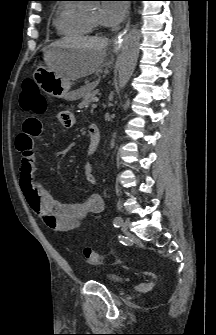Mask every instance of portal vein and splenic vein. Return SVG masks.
Listing matches in <instances>:
<instances>
[{
	"label": "portal vein and splenic vein",
	"instance_id": "obj_1",
	"mask_svg": "<svg viewBox=\"0 0 216 335\" xmlns=\"http://www.w3.org/2000/svg\"><path fill=\"white\" fill-rule=\"evenodd\" d=\"M97 102H98V99H96L95 103L92 104V108H96L97 107Z\"/></svg>",
	"mask_w": 216,
	"mask_h": 335
}]
</instances>
